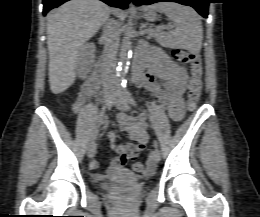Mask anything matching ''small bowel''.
I'll return each mask as SVG.
<instances>
[{
    "instance_id": "obj_1",
    "label": "small bowel",
    "mask_w": 260,
    "mask_h": 217,
    "mask_svg": "<svg viewBox=\"0 0 260 217\" xmlns=\"http://www.w3.org/2000/svg\"><path fill=\"white\" fill-rule=\"evenodd\" d=\"M136 65L146 70L137 84L158 100L172 120H180L183 116L182 96L186 89L187 71L170 61L160 50H151ZM91 94L82 93L73 105V110L79 112L85 97ZM117 118L120 128L128 133L133 142L117 145L115 133L108 134L111 148L117 153V157L103 173L98 172L99 165L96 161L91 163L90 167L98 179L124 169L126 163L135 160L148 143L145 130L146 114H140L137 119H132L120 112Z\"/></svg>"
}]
</instances>
